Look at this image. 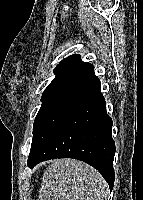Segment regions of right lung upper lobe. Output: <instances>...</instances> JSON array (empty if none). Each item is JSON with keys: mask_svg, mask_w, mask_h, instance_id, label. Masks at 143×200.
Here are the masks:
<instances>
[{"mask_svg": "<svg viewBox=\"0 0 143 200\" xmlns=\"http://www.w3.org/2000/svg\"><path fill=\"white\" fill-rule=\"evenodd\" d=\"M87 66H90V64L83 62L80 59V55L69 56L62 60L54 69L55 79L64 80Z\"/></svg>", "mask_w": 143, "mask_h": 200, "instance_id": "obj_1", "label": "right lung upper lobe"}]
</instances>
